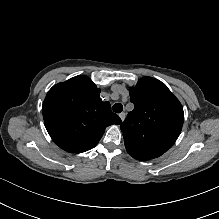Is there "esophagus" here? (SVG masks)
Listing matches in <instances>:
<instances>
[{
	"mask_svg": "<svg viewBox=\"0 0 219 219\" xmlns=\"http://www.w3.org/2000/svg\"><path fill=\"white\" fill-rule=\"evenodd\" d=\"M119 117L121 118V120H122V122H123L124 119H125V113H124V112L120 113V114H119Z\"/></svg>",
	"mask_w": 219,
	"mask_h": 219,
	"instance_id": "esophagus-1",
	"label": "esophagus"
}]
</instances>
